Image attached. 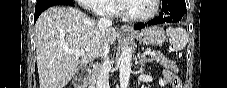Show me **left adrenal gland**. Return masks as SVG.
Here are the masks:
<instances>
[{
    "label": "left adrenal gland",
    "mask_w": 227,
    "mask_h": 88,
    "mask_svg": "<svg viewBox=\"0 0 227 88\" xmlns=\"http://www.w3.org/2000/svg\"><path fill=\"white\" fill-rule=\"evenodd\" d=\"M137 57H138V63L141 66V69H142L145 66V63L147 62L146 58L141 53H138Z\"/></svg>",
    "instance_id": "left-adrenal-gland-1"
}]
</instances>
